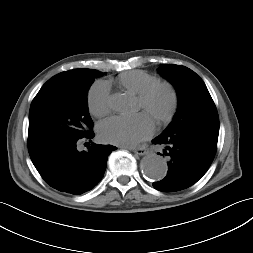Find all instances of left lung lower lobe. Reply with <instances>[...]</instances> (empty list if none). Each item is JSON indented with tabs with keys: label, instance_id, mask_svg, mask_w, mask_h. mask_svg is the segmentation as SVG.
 Listing matches in <instances>:
<instances>
[{
	"label": "left lung lower lobe",
	"instance_id": "0a47b994",
	"mask_svg": "<svg viewBox=\"0 0 253 253\" xmlns=\"http://www.w3.org/2000/svg\"><path fill=\"white\" fill-rule=\"evenodd\" d=\"M219 123L206 122L161 134L152 142L162 144L163 154L169 156L167 176L154 182L155 189L174 192L196 183L210 167L216 150Z\"/></svg>",
	"mask_w": 253,
	"mask_h": 253
}]
</instances>
